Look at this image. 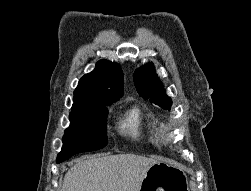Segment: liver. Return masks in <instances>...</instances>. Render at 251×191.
Masks as SVG:
<instances>
[{
  "label": "liver",
  "mask_w": 251,
  "mask_h": 191,
  "mask_svg": "<svg viewBox=\"0 0 251 191\" xmlns=\"http://www.w3.org/2000/svg\"><path fill=\"white\" fill-rule=\"evenodd\" d=\"M81 157L64 175L61 191H140L141 183L157 159L118 153Z\"/></svg>",
  "instance_id": "liver-1"
}]
</instances>
